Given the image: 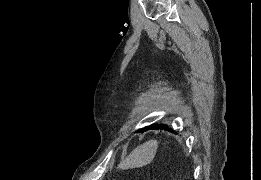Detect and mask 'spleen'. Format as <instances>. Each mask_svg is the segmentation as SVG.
I'll use <instances>...</instances> for the list:
<instances>
[{
    "label": "spleen",
    "instance_id": "obj_1",
    "mask_svg": "<svg viewBox=\"0 0 261 180\" xmlns=\"http://www.w3.org/2000/svg\"><path fill=\"white\" fill-rule=\"evenodd\" d=\"M158 150V140H148L145 144L137 146L125 160L119 164L120 170H130V168H143L151 164Z\"/></svg>",
    "mask_w": 261,
    "mask_h": 180
}]
</instances>
